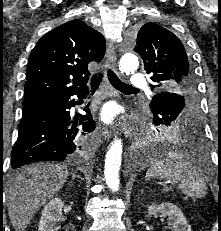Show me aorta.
<instances>
[{
	"instance_id": "762f6f07",
	"label": "aorta",
	"mask_w": 221,
	"mask_h": 231,
	"mask_svg": "<svg viewBox=\"0 0 221 231\" xmlns=\"http://www.w3.org/2000/svg\"><path fill=\"white\" fill-rule=\"evenodd\" d=\"M138 66V58L130 51L126 52L119 62L121 73H125L126 75L133 74ZM122 150L123 146L121 139L115 138L112 141L105 158L104 176L108 187L112 191L119 190V170L121 167ZM146 159V157H142V160Z\"/></svg>"
}]
</instances>
